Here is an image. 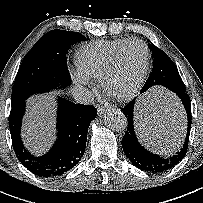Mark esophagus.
I'll list each match as a JSON object with an SVG mask.
<instances>
[{"label":"esophagus","mask_w":203,"mask_h":203,"mask_svg":"<svg viewBox=\"0 0 203 203\" xmlns=\"http://www.w3.org/2000/svg\"><path fill=\"white\" fill-rule=\"evenodd\" d=\"M106 111H107V108H106V107L99 106V107L97 108V112H98L99 115L105 114Z\"/></svg>","instance_id":"obj_1"}]
</instances>
